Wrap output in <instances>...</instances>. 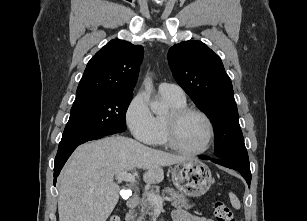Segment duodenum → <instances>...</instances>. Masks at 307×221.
Masks as SVG:
<instances>
[{
    "label": "duodenum",
    "instance_id": "duodenum-1",
    "mask_svg": "<svg viewBox=\"0 0 307 221\" xmlns=\"http://www.w3.org/2000/svg\"><path fill=\"white\" fill-rule=\"evenodd\" d=\"M138 197L137 196H132L127 200V213L125 215V219L127 220L129 218V213L130 211L134 210L136 206L138 205Z\"/></svg>",
    "mask_w": 307,
    "mask_h": 221
}]
</instances>
